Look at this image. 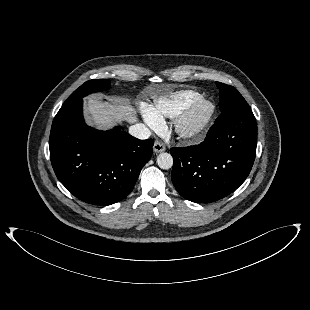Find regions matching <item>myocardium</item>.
Masks as SVG:
<instances>
[{
	"label": "myocardium",
	"instance_id": "1",
	"mask_svg": "<svg viewBox=\"0 0 310 310\" xmlns=\"http://www.w3.org/2000/svg\"><path fill=\"white\" fill-rule=\"evenodd\" d=\"M201 105L207 106V112L198 124L191 126V115L193 111ZM215 111V104L211 100L204 97L197 98L176 116L174 122V130L176 134L185 142L193 143L198 141L210 126L215 115Z\"/></svg>",
	"mask_w": 310,
	"mask_h": 310
}]
</instances>
